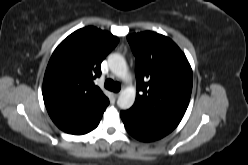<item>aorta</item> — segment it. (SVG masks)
<instances>
[{
  "label": "aorta",
  "mask_w": 248,
  "mask_h": 165,
  "mask_svg": "<svg viewBox=\"0 0 248 165\" xmlns=\"http://www.w3.org/2000/svg\"><path fill=\"white\" fill-rule=\"evenodd\" d=\"M108 65L112 73L121 79L128 78V67L124 57L120 54L114 53L108 56ZM136 97V90L134 87H126L119 95L117 105L119 108L126 110L132 107Z\"/></svg>",
  "instance_id": "aorta-1"
}]
</instances>
